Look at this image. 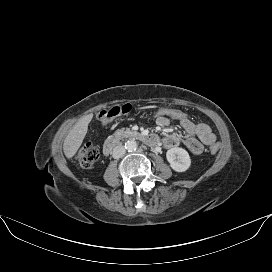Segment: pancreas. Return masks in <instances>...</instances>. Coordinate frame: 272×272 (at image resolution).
<instances>
[{
  "mask_svg": "<svg viewBox=\"0 0 272 272\" xmlns=\"http://www.w3.org/2000/svg\"><path fill=\"white\" fill-rule=\"evenodd\" d=\"M121 133L123 134H133V132L129 129V128H127V129H125V130H121Z\"/></svg>",
  "mask_w": 272,
  "mask_h": 272,
  "instance_id": "cf45deb5",
  "label": "pancreas"
}]
</instances>
